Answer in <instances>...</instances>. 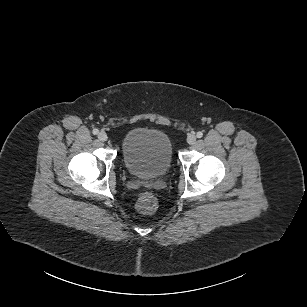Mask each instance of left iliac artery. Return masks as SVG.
Listing matches in <instances>:
<instances>
[{
    "label": "left iliac artery",
    "mask_w": 307,
    "mask_h": 307,
    "mask_svg": "<svg viewBox=\"0 0 307 307\" xmlns=\"http://www.w3.org/2000/svg\"><path fill=\"white\" fill-rule=\"evenodd\" d=\"M196 136H197L198 138H201V137L203 136V133L199 131V132H197Z\"/></svg>",
    "instance_id": "obj_1"
}]
</instances>
